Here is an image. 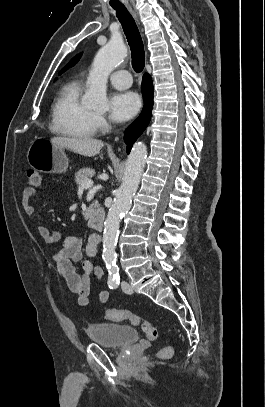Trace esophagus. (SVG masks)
I'll list each match as a JSON object with an SVG mask.
<instances>
[{
    "label": "esophagus",
    "instance_id": "1",
    "mask_svg": "<svg viewBox=\"0 0 265 407\" xmlns=\"http://www.w3.org/2000/svg\"><path fill=\"white\" fill-rule=\"evenodd\" d=\"M129 10L131 11V13L133 14V16L137 19L136 13L132 10L131 7H129Z\"/></svg>",
    "mask_w": 265,
    "mask_h": 407
}]
</instances>
